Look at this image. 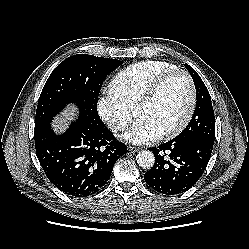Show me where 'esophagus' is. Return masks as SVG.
<instances>
[{
    "mask_svg": "<svg viewBox=\"0 0 249 249\" xmlns=\"http://www.w3.org/2000/svg\"><path fill=\"white\" fill-rule=\"evenodd\" d=\"M128 150L130 152H138L139 151V148L138 147H134V146H128Z\"/></svg>",
    "mask_w": 249,
    "mask_h": 249,
    "instance_id": "1",
    "label": "esophagus"
}]
</instances>
